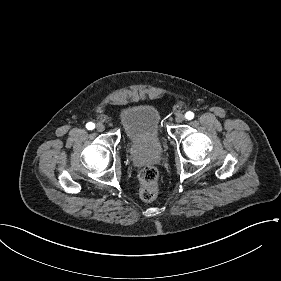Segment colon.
<instances>
[{"label": "colon", "mask_w": 281, "mask_h": 281, "mask_svg": "<svg viewBox=\"0 0 281 281\" xmlns=\"http://www.w3.org/2000/svg\"><path fill=\"white\" fill-rule=\"evenodd\" d=\"M158 171L154 166H146L139 175L141 196L144 200H153L158 193Z\"/></svg>", "instance_id": "1"}]
</instances>
